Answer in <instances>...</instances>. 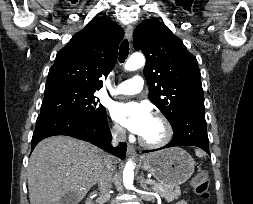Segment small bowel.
I'll return each instance as SVG.
<instances>
[{"mask_svg": "<svg viewBox=\"0 0 253 204\" xmlns=\"http://www.w3.org/2000/svg\"><path fill=\"white\" fill-rule=\"evenodd\" d=\"M177 204H188L186 201H180Z\"/></svg>", "mask_w": 253, "mask_h": 204, "instance_id": "c3829d8e", "label": "small bowel"}]
</instances>
